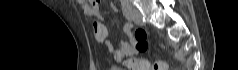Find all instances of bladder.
Listing matches in <instances>:
<instances>
[{"instance_id": "31cf9c89", "label": "bladder", "mask_w": 238, "mask_h": 70, "mask_svg": "<svg viewBox=\"0 0 238 70\" xmlns=\"http://www.w3.org/2000/svg\"><path fill=\"white\" fill-rule=\"evenodd\" d=\"M111 70H123V69L119 68V67H113V68H111Z\"/></svg>"}]
</instances>
